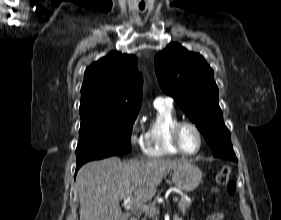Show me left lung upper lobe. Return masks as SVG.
Here are the masks:
<instances>
[{
	"label": "left lung upper lobe",
	"mask_w": 281,
	"mask_h": 220,
	"mask_svg": "<svg viewBox=\"0 0 281 220\" xmlns=\"http://www.w3.org/2000/svg\"><path fill=\"white\" fill-rule=\"evenodd\" d=\"M154 63L160 87L196 124L213 155L237 161L219 107L213 70L203 56L172 43L155 56Z\"/></svg>",
	"instance_id": "5c2ea615"
}]
</instances>
